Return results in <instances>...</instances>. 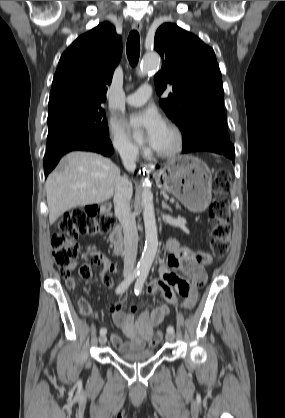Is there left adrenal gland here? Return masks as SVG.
Segmentation results:
<instances>
[{"label": "left adrenal gland", "instance_id": "a2214340", "mask_svg": "<svg viewBox=\"0 0 285 418\" xmlns=\"http://www.w3.org/2000/svg\"><path fill=\"white\" fill-rule=\"evenodd\" d=\"M162 208L163 209H168L170 212L172 211L171 207L169 205H167L166 201H162Z\"/></svg>", "mask_w": 285, "mask_h": 418}]
</instances>
